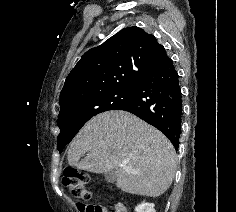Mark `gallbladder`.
I'll return each mask as SVG.
<instances>
[{"label":"gallbladder","mask_w":236,"mask_h":212,"mask_svg":"<svg viewBox=\"0 0 236 212\" xmlns=\"http://www.w3.org/2000/svg\"><path fill=\"white\" fill-rule=\"evenodd\" d=\"M104 177L109 183H114L116 181V173L114 170L106 172Z\"/></svg>","instance_id":"gallbladder-1"}]
</instances>
